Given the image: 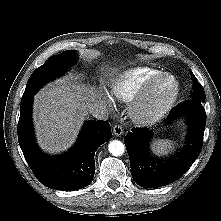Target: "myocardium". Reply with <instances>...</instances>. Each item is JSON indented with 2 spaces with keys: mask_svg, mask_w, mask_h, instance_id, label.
Here are the masks:
<instances>
[{
  "mask_svg": "<svg viewBox=\"0 0 221 221\" xmlns=\"http://www.w3.org/2000/svg\"><path fill=\"white\" fill-rule=\"evenodd\" d=\"M163 80H170L173 84L169 96L160 104L148 107L147 100L153 88ZM180 85L177 78L167 72H162L149 79L139 90L129 104V116L135 124L150 125L164 117L176 102L179 95Z\"/></svg>",
  "mask_w": 221,
  "mask_h": 221,
  "instance_id": "myocardium-1",
  "label": "myocardium"
}]
</instances>
